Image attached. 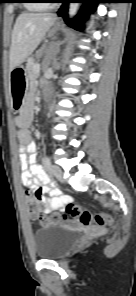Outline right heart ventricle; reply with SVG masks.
Listing matches in <instances>:
<instances>
[{
  "label": "right heart ventricle",
  "mask_w": 136,
  "mask_h": 296,
  "mask_svg": "<svg viewBox=\"0 0 136 296\" xmlns=\"http://www.w3.org/2000/svg\"><path fill=\"white\" fill-rule=\"evenodd\" d=\"M43 0H29L26 7L30 10H41L46 8V3L41 2Z\"/></svg>",
  "instance_id": "1"
}]
</instances>
